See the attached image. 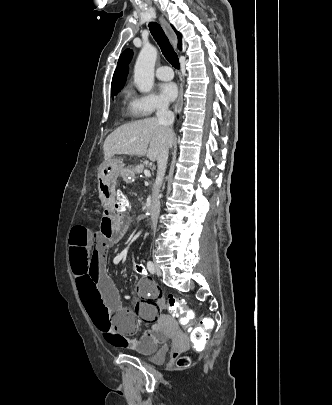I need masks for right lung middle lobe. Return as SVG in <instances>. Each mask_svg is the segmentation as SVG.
Here are the masks:
<instances>
[{"label":"right lung middle lobe","mask_w":332,"mask_h":405,"mask_svg":"<svg viewBox=\"0 0 332 405\" xmlns=\"http://www.w3.org/2000/svg\"><path fill=\"white\" fill-rule=\"evenodd\" d=\"M123 85H124V83H121V84H119V85H117V86H115V87H112V88H111L112 96H114V95H116L118 92H120V90L122 89Z\"/></svg>","instance_id":"dd1d6c3e"}]
</instances>
